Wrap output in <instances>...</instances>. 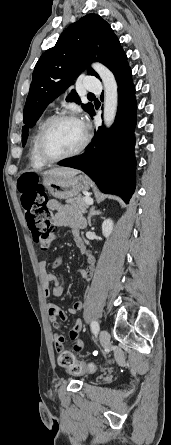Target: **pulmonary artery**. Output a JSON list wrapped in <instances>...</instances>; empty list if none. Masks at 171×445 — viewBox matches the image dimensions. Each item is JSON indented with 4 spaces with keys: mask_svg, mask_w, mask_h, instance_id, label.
Wrapping results in <instances>:
<instances>
[{
    "mask_svg": "<svg viewBox=\"0 0 171 445\" xmlns=\"http://www.w3.org/2000/svg\"><path fill=\"white\" fill-rule=\"evenodd\" d=\"M85 89L88 92H99L102 89V84L98 78L88 77L85 81Z\"/></svg>",
    "mask_w": 171,
    "mask_h": 445,
    "instance_id": "obj_1",
    "label": "pulmonary artery"
}]
</instances>
